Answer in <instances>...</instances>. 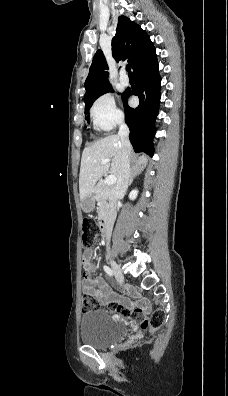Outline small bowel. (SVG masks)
<instances>
[{"label":"small bowel","instance_id":"c3829d8e","mask_svg":"<svg viewBox=\"0 0 228 396\" xmlns=\"http://www.w3.org/2000/svg\"><path fill=\"white\" fill-rule=\"evenodd\" d=\"M84 268V277L82 281V292L96 297L102 304H119L125 306L134 311L136 316L133 319V323L139 321V316L149 311L150 306L146 300L132 301L129 298L114 293L106 282L101 277L92 278L91 274L96 271V266L92 262V251L88 249L87 256L82 261ZM130 294H134L132 289H128Z\"/></svg>","mask_w":228,"mask_h":396}]
</instances>
